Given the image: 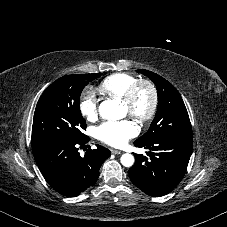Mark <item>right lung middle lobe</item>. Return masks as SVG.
Segmentation results:
<instances>
[{"instance_id":"obj_1","label":"right lung middle lobe","mask_w":227,"mask_h":227,"mask_svg":"<svg viewBox=\"0 0 227 227\" xmlns=\"http://www.w3.org/2000/svg\"><path fill=\"white\" fill-rule=\"evenodd\" d=\"M98 74L67 75L53 82L41 95L32 126V149L49 141H80L86 122L81 115L79 102L83 88Z\"/></svg>"}]
</instances>
